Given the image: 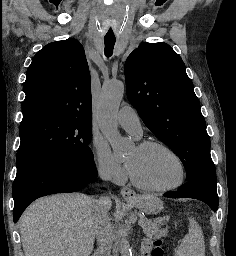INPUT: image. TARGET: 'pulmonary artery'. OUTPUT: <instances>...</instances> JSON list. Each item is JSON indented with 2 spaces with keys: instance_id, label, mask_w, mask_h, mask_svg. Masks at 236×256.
<instances>
[{
  "instance_id": "e3ab8cb5",
  "label": "pulmonary artery",
  "mask_w": 236,
  "mask_h": 256,
  "mask_svg": "<svg viewBox=\"0 0 236 256\" xmlns=\"http://www.w3.org/2000/svg\"><path fill=\"white\" fill-rule=\"evenodd\" d=\"M116 120L122 128L133 133L137 138L142 135L139 117L132 107L121 108L116 115Z\"/></svg>"
}]
</instances>
